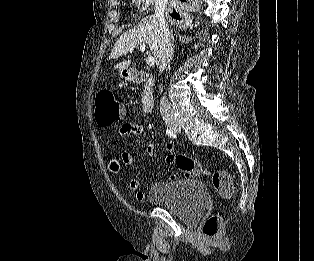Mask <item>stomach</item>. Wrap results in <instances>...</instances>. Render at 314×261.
I'll list each match as a JSON object with an SVG mask.
<instances>
[{
    "instance_id": "0dacf381",
    "label": "stomach",
    "mask_w": 314,
    "mask_h": 261,
    "mask_svg": "<svg viewBox=\"0 0 314 261\" xmlns=\"http://www.w3.org/2000/svg\"><path fill=\"white\" fill-rule=\"evenodd\" d=\"M119 76L124 79L125 81H133L134 80V74L131 69L124 68L119 70Z\"/></svg>"
}]
</instances>
